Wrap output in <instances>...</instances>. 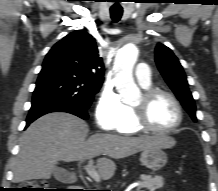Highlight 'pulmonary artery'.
Instances as JSON below:
<instances>
[{"mask_svg":"<svg viewBox=\"0 0 218 191\" xmlns=\"http://www.w3.org/2000/svg\"><path fill=\"white\" fill-rule=\"evenodd\" d=\"M136 78L142 86L151 84V69L146 63H139L136 69Z\"/></svg>","mask_w":218,"mask_h":191,"instance_id":"1","label":"pulmonary artery"}]
</instances>
